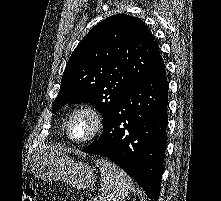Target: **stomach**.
<instances>
[{"label":"stomach","mask_w":221,"mask_h":201,"mask_svg":"<svg viewBox=\"0 0 221 201\" xmlns=\"http://www.w3.org/2000/svg\"><path fill=\"white\" fill-rule=\"evenodd\" d=\"M30 170L43 180H61L75 188L85 189L94 182L93 169L85 163L76 162L56 150H43L30 161Z\"/></svg>","instance_id":"stomach-1"}]
</instances>
